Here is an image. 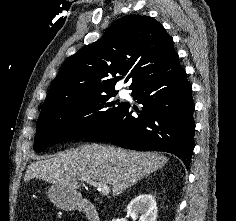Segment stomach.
Wrapping results in <instances>:
<instances>
[{"mask_svg": "<svg viewBox=\"0 0 236 221\" xmlns=\"http://www.w3.org/2000/svg\"><path fill=\"white\" fill-rule=\"evenodd\" d=\"M50 200L63 210H75L81 203V194L71 192L59 185H52L48 190Z\"/></svg>", "mask_w": 236, "mask_h": 221, "instance_id": "obj_1", "label": "stomach"}]
</instances>
